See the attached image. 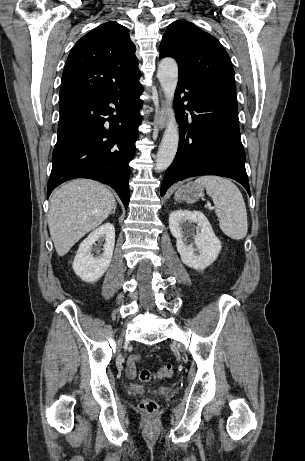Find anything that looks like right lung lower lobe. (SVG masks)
<instances>
[{"mask_svg":"<svg viewBox=\"0 0 305 461\" xmlns=\"http://www.w3.org/2000/svg\"><path fill=\"white\" fill-rule=\"evenodd\" d=\"M142 91V85L136 82L108 95L59 105L47 197L67 180L89 178L111 186L127 208L128 163L136 151Z\"/></svg>","mask_w":305,"mask_h":461,"instance_id":"right-lung-lower-lobe-1","label":"right lung lower lobe"}]
</instances>
